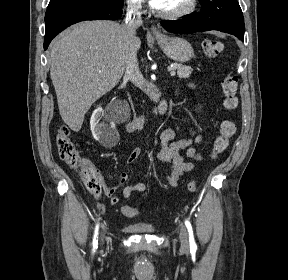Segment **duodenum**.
Instances as JSON below:
<instances>
[{
	"label": "duodenum",
	"mask_w": 288,
	"mask_h": 280,
	"mask_svg": "<svg viewBox=\"0 0 288 280\" xmlns=\"http://www.w3.org/2000/svg\"><path fill=\"white\" fill-rule=\"evenodd\" d=\"M168 109V104L166 101L162 100L159 104H157L153 110V115H163L166 113ZM147 121V115H140L137 118L133 119L132 121L128 122L126 125L127 130H136L142 129Z\"/></svg>",
	"instance_id": "obj_1"
}]
</instances>
